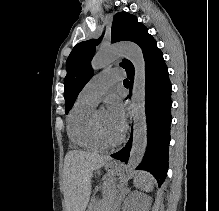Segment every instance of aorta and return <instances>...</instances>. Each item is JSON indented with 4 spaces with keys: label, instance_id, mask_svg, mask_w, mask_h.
Returning a JSON list of instances; mask_svg holds the SVG:
<instances>
[{
    "label": "aorta",
    "instance_id": "aorta-1",
    "mask_svg": "<svg viewBox=\"0 0 219 211\" xmlns=\"http://www.w3.org/2000/svg\"><path fill=\"white\" fill-rule=\"evenodd\" d=\"M118 56L130 60L134 66V84L132 89V117L134 121L133 141L128 164L121 174V181L135 171L142 162L147 147V121L145 108V82L146 71L142 50L134 43L126 42L102 49L94 56L92 67L94 70L101 69L110 64Z\"/></svg>",
    "mask_w": 219,
    "mask_h": 211
}]
</instances>
